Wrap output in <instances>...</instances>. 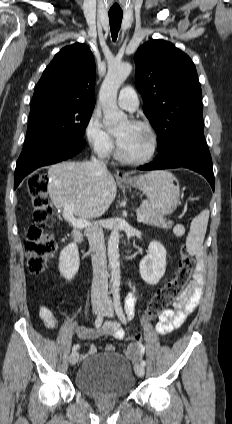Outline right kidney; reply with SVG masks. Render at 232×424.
Returning a JSON list of instances; mask_svg holds the SVG:
<instances>
[{
    "label": "right kidney",
    "instance_id": "ca27d5eb",
    "mask_svg": "<svg viewBox=\"0 0 232 424\" xmlns=\"http://www.w3.org/2000/svg\"><path fill=\"white\" fill-rule=\"evenodd\" d=\"M80 265L78 247L75 243L68 244L60 253L59 271L68 281L78 272Z\"/></svg>",
    "mask_w": 232,
    "mask_h": 424
}]
</instances>
